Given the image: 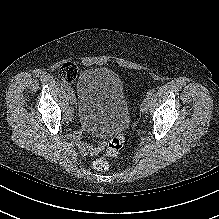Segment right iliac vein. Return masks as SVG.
Segmentation results:
<instances>
[{
  "label": "right iliac vein",
  "mask_w": 219,
  "mask_h": 219,
  "mask_svg": "<svg viewBox=\"0 0 219 219\" xmlns=\"http://www.w3.org/2000/svg\"><path fill=\"white\" fill-rule=\"evenodd\" d=\"M69 95H70V103L74 105L76 103V97L73 92H70Z\"/></svg>",
  "instance_id": "63e3f726"
}]
</instances>
